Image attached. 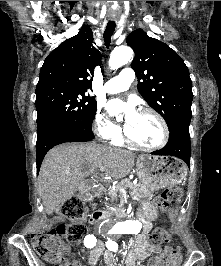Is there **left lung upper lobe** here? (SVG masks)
Wrapping results in <instances>:
<instances>
[{
  "mask_svg": "<svg viewBox=\"0 0 221 266\" xmlns=\"http://www.w3.org/2000/svg\"><path fill=\"white\" fill-rule=\"evenodd\" d=\"M126 41L135 52L131 67L138 78L141 96L165 119L169 130L189 126L192 81L183 59L142 29L133 31Z\"/></svg>",
  "mask_w": 221,
  "mask_h": 266,
  "instance_id": "obj_1",
  "label": "left lung upper lobe"
}]
</instances>
